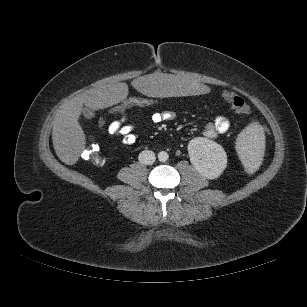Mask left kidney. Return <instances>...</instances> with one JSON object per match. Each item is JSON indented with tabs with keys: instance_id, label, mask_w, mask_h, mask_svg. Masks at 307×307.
<instances>
[{
	"instance_id": "1",
	"label": "left kidney",
	"mask_w": 307,
	"mask_h": 307,
	"mask_svg": "<svg viewBox=\"0 0 307 307\" xmlns=\"http://www.w3.org/2000/svg\"><path fill=\"white\" fill-rule=\"evenodd\" d=\"M188 153L193 167L208 179L218 178L227 166L224 148L210 139H192L188 143Z\"/></svg>"
}]
</instances>
